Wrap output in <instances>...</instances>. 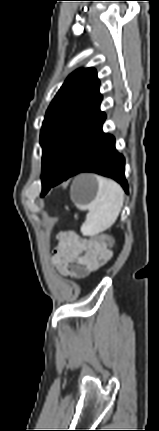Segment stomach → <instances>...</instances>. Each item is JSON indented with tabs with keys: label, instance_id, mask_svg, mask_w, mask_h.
I'll list each match as a JSON object with an SVG mask.
<instances>
[{
	"label": "stomach",
	"instance_id": "0dacf381",
	"mask_svg": "<svg viewBox=\"0 0 159 431\" xmlns=\"http://www.w3.org/2000/svg\"><path fill=\"white\" fill-rule=\"evenodd\" d=\"M97 177L93 174H81L77 176L71 186V198L77 205L87 206L98 193Z\"/></svg>",
	"mask_w": 159,
	"mask_h": 431
}]
</instances>
